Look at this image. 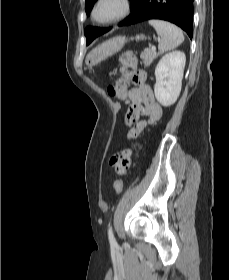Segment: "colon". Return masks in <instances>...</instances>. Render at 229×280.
<instances>
[{
  "instance_id": "obj_1",
  "label": "colon",
  "mask_w": 229,
  "mask_h": 280,
  "mask_svg": "<svg viewBox=\"0 0 229 280\" xmlns=\"http://www.w3.org/2000/svg\"><path fill=\"white\" fill-rule=\"evenodd\" d=\"M119 61L121 63L120 72L122 75V79L118 83L119 88L130 82L141 84L146 80L144 71L137 68L136 56L133 51L126 50L122 52ZM110 165L115 167L116 171L123 172L127 165L124 154L122 152L114 153L110 158ZM114 188L116 192H121L123 189V181L121 179L116 180L114 182Z\"/></svg>"
}]
</instances>
